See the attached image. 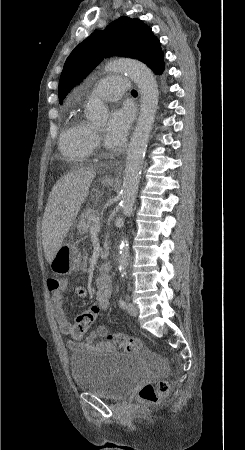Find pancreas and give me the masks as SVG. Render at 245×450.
Instances as JSON below:
<instances>
[{
    "label": "pancreas",
    "mask_w": 245,
    "mask_h": 450,
    "mask_svg": "<svg viewBox=\"0 0 245 450\" xmlns=\"http://www.w3.org/2000/svg\"><path fill=\"white\" fill-rule=\"evenodd\" d=\"M95 217V211L91 208H87L80 216V220L77 224V228L79 232H82L83 234H86L91 227L93 226V218ZM104 252H102V259H105L108 256V249L109 246L107 242L104 244Z\"/></svg>",
    "instance_id": "cf45deb5"
}]
</instances>
